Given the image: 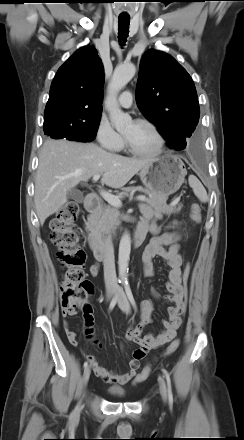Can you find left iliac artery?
<instances>
[{
	"mask_svg": "<svg viewBox=\"0 0 244 440\" xmlns=\"http://www.w3.org/2000/svg\"><path fill=\"white\" fill-rule=\"evenodd\" d=\"M124 288H125L126 294L128 296L129 301L131 302L133 308L137 309L136 303H135V300H134V297H133V294H132V291H131V288H130V285H129L128 282L124 283ZM162 371H163L164 376H165L166 381H167L169 404L172 405V403H173V394H172V388H171L170 375L167 372V370L163 369Z\"/></svg>",
	"mask_w": 244,
	"mask_h": 440,
	"instance_id": "left-iliac-artery-1",
	"label": "left iliac artery"
}]
</instances>
